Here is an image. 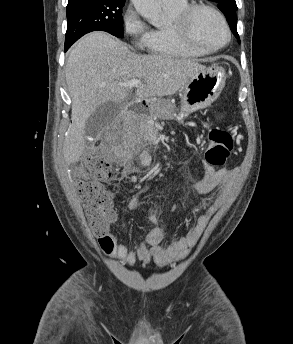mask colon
I'll use <instances>...</instances> for the list:
<instances>
[{
	"mask_svg": "<svg viewBox=\"0 0 293 344\" xmlns=\"http://www.w3.org/2000/svg\"><path fill=\"white\" fill-rule=\"evenodd\" d=\"M233 148L232 136L220 129H211L205 150V161L212 167H221L228 160ZM88 177L79 184L86 216L95 235L102 236L116 213L109 192L102 181L115 176L112 163L102 154H92L87 158Z\"/></svg>",
	"mask_w": 293,
	"mask_h": 344,
	"instance_id": "obj_1",
	"label": "colon"
}]
</instances>
